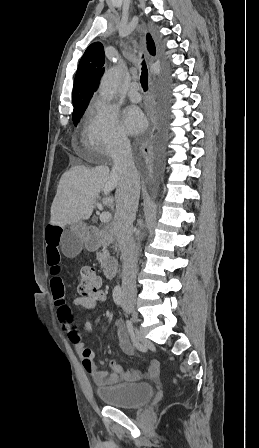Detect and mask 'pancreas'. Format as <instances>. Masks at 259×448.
Instances as JSON below:
<instances>
[{
  "mask_svg": "<svg viewBox=\"0 0 259 448\" xmlns=\"http://www.w3.org/2000/svg\"><path fill=\"white\" fill-rule=\"evenodd\" d=\"M96 256L97 260H99V262H102V260H105L106 258L105 250H102V252H97Z\"/></svg>",
  "mask_w": 259,
  "mask_h": 448,
  "instance_id": "pancreas-1",
  "label": "pancreas"
}]
</instances>
